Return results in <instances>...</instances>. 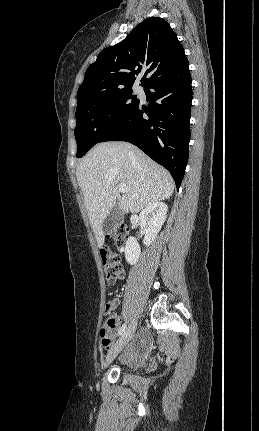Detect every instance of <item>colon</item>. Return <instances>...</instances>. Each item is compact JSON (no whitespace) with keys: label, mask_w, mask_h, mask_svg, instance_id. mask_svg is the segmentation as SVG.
Here are the masks:
<instances>
[{"label":"colon","mask_w":259,"mask_h":431,"mask_svg":"<svg viewBox=\"0 0 259 431\" xmlns=\"http://www.w3.org/2000/svg\"><path fill=\"white\" fill-rule=\"evenodd\" d=\"M107 237L111 239L117 247H123L128 237V229L124 226H120L113 230ZM100 257L108 284L113 285L123 278L124 268L121 264L120 256L116 252L105 246L100 250ZM112 309L111 303H107L105 307V321L100 330L103 346H108L110 344L111 330L115 328L116 325V319L111 315Z\"/></svg>","instance_id":"colon-1"}]
</instances>
